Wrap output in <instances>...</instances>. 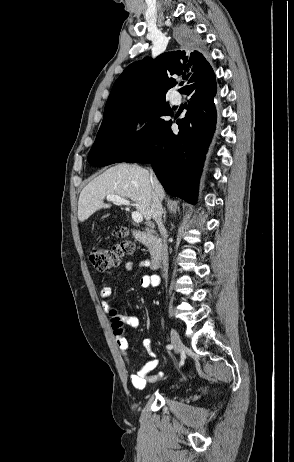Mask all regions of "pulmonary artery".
<instances>
[{
	"label": "pulmonary artery",
	"mask_w": 294,
	"mask_h": 462,
	"mask_svg": "<svg viewBox=\"0 0 294 462\" xmlns=\"http://www.w3.org/2000/svg\"><path fill=\"white\" fill-rule=\"evenodd\" d=\"M170 100L172 103H178L180 101V95L177 92H173L170 96Z\"/></svg>",
	"instance_id": "1"
}]
</instances>
